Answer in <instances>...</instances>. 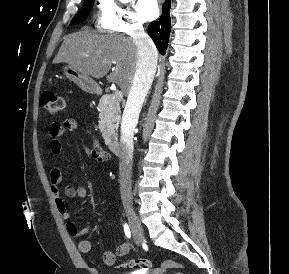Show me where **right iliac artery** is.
Masks as SVG:
<instances>
[{
  "instance_id": "obj_1",
  "label": "right iliac artery",
  "mask_w": 289,
  "mask_h": 274,
  "mask_svg": "<svg viewBox=\"0 0 289 274\" xmlns=\"http://www.w3.org/2000/svg\"><path fill=\"white\" fill-rule=\"evenodd\" d=\"M124 232H125V235L127 236V238H131V232H130V229L128 227L127 224H124Z\"/></svg>"
}]
</instances>
